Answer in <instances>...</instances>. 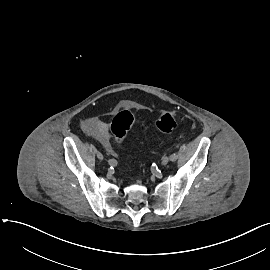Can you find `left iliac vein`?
Returning <instances> with one entry per match:
<instances>
[{
    "mask_svg": "<svg viewBox=\"0 0 270 270\" xmlns=\"http://www.w3.org/2000/svg\"><path fill=\"white\" fill-rule=\"evenodd\" d=\"M168 162H169V157L166 156L162 159V165H166Z\"/></svg>",
    "mask_w": 270,
    "mask_h": 270,
    "instance_id": "left-iliac-vein-1",
    "label": "left iliac vein"
}]
</instances>
